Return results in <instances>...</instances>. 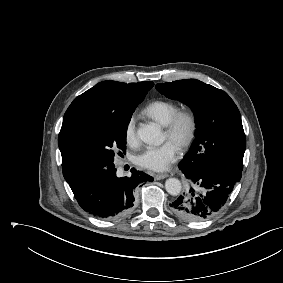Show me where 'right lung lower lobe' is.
Here are the masks:
<instances>
[{"label": "right lung lower lobe", "instance_id": "right-lung-lower-lobe-1", "mask_svg": "<svg viewBox=\"0 0 283 283\" xmlns=\"http://www.w3.org/2000/svg\"><path fill=\"white\" fill-rule=\"evenodd\" d=\"M131 173L130 177L118 178L113 165L87 171L69 185L84 211L99 218H117L132 209L138 184L153 181L151 176L134 168Z\"/></svg>", "mask_w": 283, "mask_h": 283}]
</instances>
